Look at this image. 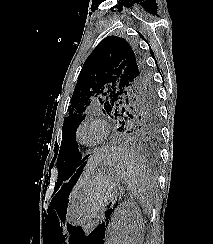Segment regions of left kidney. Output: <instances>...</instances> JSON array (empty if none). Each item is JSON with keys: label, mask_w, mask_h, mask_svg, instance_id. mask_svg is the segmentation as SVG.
Here are the masks:
<instances>
[{"label": "left kidney", "mask_w": 213, "mask_h": 244, "mask_svg": "<svg viewBox=\"0 0 213 244\" xmlns=\"http://www.w3.org/2000/svg\"><path fill=\"white\" fill-rule=\"evenodd\" d=\"M139 226L132 216L131 206L122 205L108 232L107 244H137Z\"/></svg>", "instance_id": "obj_1"}]
</instances>
